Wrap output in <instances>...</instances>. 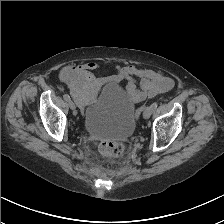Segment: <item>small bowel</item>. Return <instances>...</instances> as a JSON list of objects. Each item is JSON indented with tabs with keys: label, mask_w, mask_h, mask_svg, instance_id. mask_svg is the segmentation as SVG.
Wrapping results in <instances>:
<instances>
[{
	"label": "small bowel",
	"mask_w": 224,
	"mask_h": 224,
	"mask_svg": "<svg viewBox=\"0 0 224 224\" xmlns=\"http://www.w3.org/2000/svg\"><path fill=\"white\" fill-rule=\"evenodd\" d=\"M101 67L98 63H88L84 66L87 70H96ZM115 81L125 80L127 82L126 91L128 96L136 103L143 101L146 97H155L159 94L171 90L174 81L152 69L138 68L133 65L117 66ZM137 78L140 79L139 86Z\"/></svg>",
	"instance_id": "obj_1"
}]
</instances>
